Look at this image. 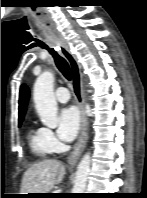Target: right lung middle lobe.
Masks as SVG:
<instances>
[{
    "instance_id": "right-lung-middle-lobe-1",
    "label": "right lung middle lobe",
    "mask_w": 147,
    "mask_h": 198,
    "mask_svg": "<svg viewBox=\"0 0 147 198\" xmlns=\"http://www.w3.org/2000/svg\"><path fill=\"white\" fill-rule=\"evenodd\" d=\"M23 121V119H19V126L21 125V122Z\"/></svg>"
}]
</instances>
